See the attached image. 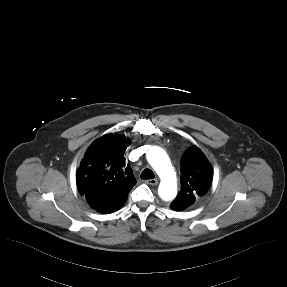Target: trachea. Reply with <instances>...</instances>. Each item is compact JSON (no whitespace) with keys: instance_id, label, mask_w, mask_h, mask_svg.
<instances>
[{"instance_id":"3493384b","label":"trachea","mask_w":287,"mask_h":287,"mask_svg":"<svg viewBox=\"0 0 287 287\" xmlns=\"http://www.w3.org/2000/svg\"><path fill=\"white\" fill-rule=\"evenodd\" d=\"M155 177L153 171L151 169H144L141 173V179L148 180L153 179Z\"/></svg>"}]
</instances>
